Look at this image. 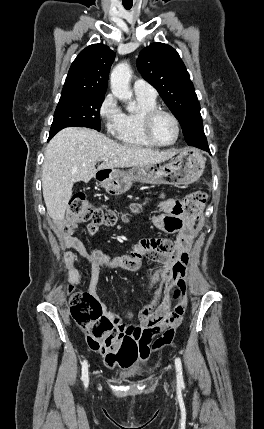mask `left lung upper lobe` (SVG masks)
Returning <instances> with one entry per match:
<instances>
[{
  "label": "left lung upper lobe",
  "mask_w": 264,
  "mask_h": 429,
  "mask_svg": "<svg viewBox=\"0 0 264 429\" xmlns=\"http://www.w3.org/2000/svg\"><path fill=\"white\" fill-rule=\"evenodd\" d=\"M137 67L179 120L187 144L195 147L208 145L200 104L177 51L167 44L152 43L140 52Z\"/></svg>",
  "instance_id": "left-lung-upper-lobe-1"
}]
</instances>
